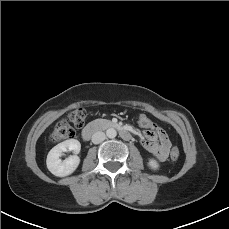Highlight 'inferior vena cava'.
Masks as SVG:
<instances>
[{
	"mask_svg": "<svg viewBox=\"0 0 229 229\" xmlns=\"http://www.w3.org/2000/svg\"><path fill=\"white\" fill-rule=\"evenodd\" d=\"M105 133L102 131H97L92 135V142L94 144H99L105 140Z\"/></svg>",
	"mask_w": 229,
	"mask_h": 229,
	"instance_id": "inferior-vena-cava-1",
	"label": "inferior vena cava"
}]
</instances>
